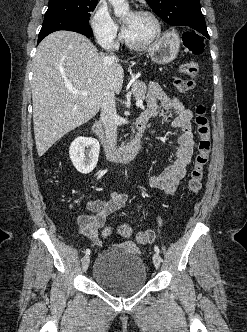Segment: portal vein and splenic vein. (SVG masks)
Instances as JSON below:
<instances>
[{
	"label": "portal vein and splenic vein",
	"mask_w": 247,
	"mask_h": 332,
	"mask_svg": "<svg viewBox=\"0 0 247 332\" xmlns=\"http://www.w3.org/2000/svg\"><path fill=\"white\" fill-rule=\"evenodd\" d=\"M72 93L74 94H78V95H84V96H87L88 95V92L87 91H79V90H71ZM136 105L138 107H143V100L141 99H138L136 101Z\"/></svg>",
	"instance_id": "obj_1"
}]
</instances>
